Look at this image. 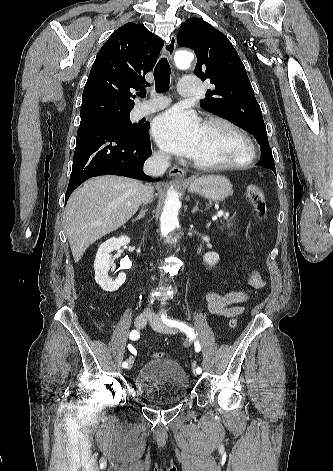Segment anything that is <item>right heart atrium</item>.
<instances>
[{
  "label": "right heart atrium",
  "instance_id": "d8ad5b80",
  "mask_svg": "<svg viewBox=\"0 0 333 471\" xmlns=\"http://www.w3.org/2000/svg\"><path fill=\"white\" fill-rule=\"evenodd\" d=\"M156 157L159 161H162V162L166 161V159H167L166 155L162 152H158L156 154Z\"/></svg>",
  "mask_w": 333,
  "mask_h": 471
}]
</instances>
